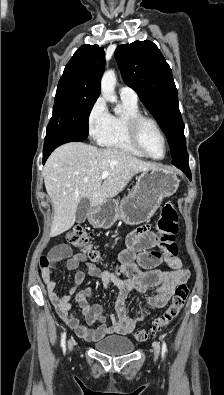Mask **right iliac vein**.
<instances>
[{
	"mask_svg": "<svg viewBox=\"0 0 224 395\" xmlns=\"http://www.w3.org/2000/svg\"><path fill=\"white\" fill-rule=\"evenodd\" d=\"M73 347H74V340L71 338V339L68 341V349H69V351H72V350H73Z\"/></svg>",
	"mask_w": 224,
	"mask_h": 395,
	"instance_id": "obj_1",
	"label": "right iliac vein"
}]
</instances>
